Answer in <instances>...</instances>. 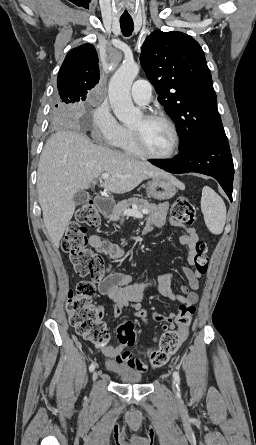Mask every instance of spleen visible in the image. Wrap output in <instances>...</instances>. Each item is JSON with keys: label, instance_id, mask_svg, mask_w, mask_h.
I'll return each mask as SVG.
<instances>
[{"label": "spleen", "instance_id": "1", "mask_svg": "<svg viewBox=\"0 0 256 445\" xmlns=\"http://www.w3.org/2000/svg\"><path fill=\"white\" fill-rule=\"evenodd\" d=\"M201 210L209 231L221 234L226 221V206L223 199L208 186L202 190Z\"/></svg>", "mask_w": 256, "mask_h": 445}]
</instances>
